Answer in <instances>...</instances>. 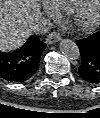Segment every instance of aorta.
<instances>
[{
    "mask_svg": "<svg viewBox=\"0 0 100 118\" xmlns=\"http://www.w3.org/2000/svg\"><path fill=\"white\" fill-rule=\"evenodd\" d=\"M60 51L65 57L71 60H76L80 57L77 44L70 39H64L60 42Z\"/></svg>",
    "mask_w": 100,
    "mask_h": 118,
    "instance_id": "aorta-1",
    "label": "aorta"
}]
</instances>
